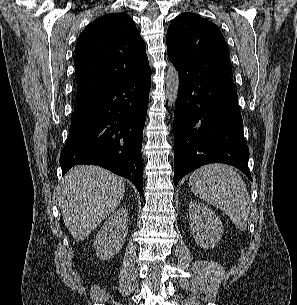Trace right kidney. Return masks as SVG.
I'll return each mask as SVG.
<instances>
[{"instance_id": "1", "label": "right kidney", "mask_w": 297, "mask_h": 305, "mask_svg": "<svg viewBox=\"0 0 297 305\" xmlns=\"http://www.w3.org/2000/svg\"><path fill=\"white\" fill-rule=\"evenodd\" d=\"M128 233V210H116L103 224L94 240L96 255L105 260L117 254Z\"/></svg>"}]
</instances>
